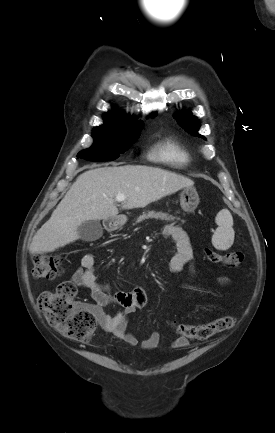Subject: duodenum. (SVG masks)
Returning <instances> with one entry per match:
<instances>
[{
	"mask_svg": "<svg viewBox=\"0 0 275 433\" xmlns=\"http://www.w3.org/2000/svg\"><path fill=\"white\" fill-rule=\"evenodd\" d=\"M104 226L108 231H114L117 229V223L113 219H106L104 221Z\"/></svg>",
	"mask_w": 275,
	"mask_h": 433,
	"instance_id": "1",
	"label": "duodenum"
}]
</instances>
